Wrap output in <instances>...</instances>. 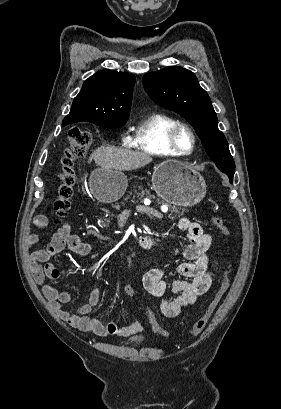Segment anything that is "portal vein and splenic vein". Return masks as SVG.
Wrapping results in <instances>:
<instances>
[{"mask_svg": "<svg viewBox=\"0 0 281 409\" xmlns=\"http://www.w3.org/2000/svg\"><path fill=\"white\" fill-rule=\"evenodd\" d=\"M161 202H164V201H161ZM136 210L138 213L140 214L143 213V215L147 217L153 216L155 218H158L162 216V212L160 210H157L156 207L145 206L143 203H140L138 207L136 206Z\"/></svg>", "mask_w": 281, "mask_h": 409, "instance_id": "1", "label": "portal vein and splenic vein"}]
</instances>
